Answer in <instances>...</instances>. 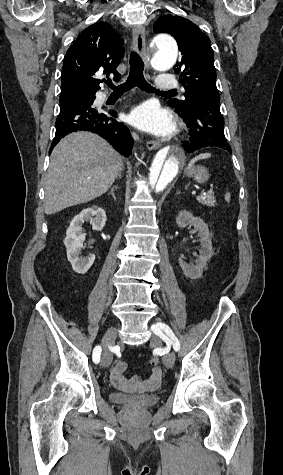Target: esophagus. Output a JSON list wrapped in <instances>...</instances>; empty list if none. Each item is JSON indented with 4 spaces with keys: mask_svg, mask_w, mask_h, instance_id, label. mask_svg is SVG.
I'll use <instances>...</instances> for the list:
<instances>
[{
    "mask_svg": "<svg viewBox=\"0 0 283 475\" xmlns=\"http://www.w3.org/2000/svg\"><path fill=\"white\" fill-rule=\"evenodd\" d=\"M132 35H133V47L137 54L145 62V66L148 69L149 62L147 60L146 54V35H145V28L142 25H134L132 28ZM147 148L149 150H157L161 146V142L149 140L147 142Z\"/></svg>",
    "mask_w": 283,
    "mask_h": 475,
    "instance_id": "1",
    "label": "esophagus"
}]
</instances>
